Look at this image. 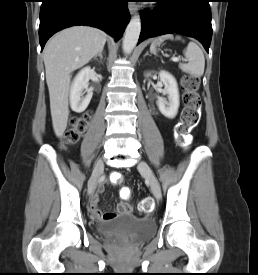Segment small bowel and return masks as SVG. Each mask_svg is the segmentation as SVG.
<instances>
[{
    "instance_id": "1",
    "label": "small bowel",
    "mask_w": 258,
    "mask_h": 275,
    "mask_svg": "<svg viewBox=\"0 0 258 275\" xmlns=\"http://www.w3.org/2000/svg\"><path fill=\"white\" fill-rule=\"evenodd\" d=\"M96 193L93 195L90 201V212L96 218H104V219H113L116 217L117 213H129L132 210L131 203L127 201H121L116 208V211H106L102 212L98 208L99 198L98 195L104 190V182H100L96 185Z\"/></svg>"
}]
</instances>
